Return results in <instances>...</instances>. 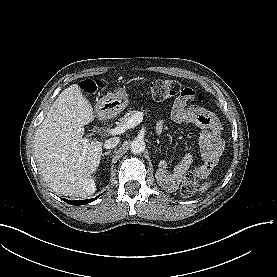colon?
I'll use <instances>...</instances> for the list:
<instances>
[{"instance_id": "obj_1", "label": "colon", "mask_w": 277, "mask_h": 277, "mask_svg": "<svg viewBox=\"0 0 277 277\" xmlns=\"http://www.w3.org/2000/svg\"><path fill=\"white\" fill-rule=\"evenodd\" d=\"M99 83L94 81H85L81 87L88 91V92H94ZM150 91L154 99L156 100H165L177 95H187V94H194L193 90L186 88L182 86L179 82L174 80H163V79H157L150 83ZM196 98L198 100L202 99L201 94H197ZM214 161L212 159H209L206 161V165L208 168L214 167ZM196 192V178L195 176L189 174L186 176L185 180L183 181L180 193L182 196L189 198L194 195Z\"/></svg>"}]
</instances>
